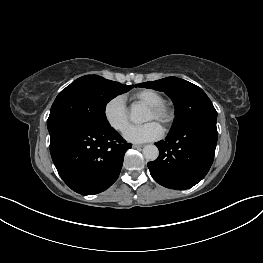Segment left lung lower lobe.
I'll use <instances>...</instances> for the list:
<instances>
[{
  "instance_id": "0a47b994",
  "label": "left lung lower lobe",
  "mask_w": 263,
  "mask_h": 263,
  "mask_svg": "<svg viewBox=\"0 0 263 263\" xmlns=\"http://www.w3.org/2000/svg\"><path fill=\"white\" fill-rule=\"evenodd\" d=\"M217 137L216 121L193 123L170 132L156 143L159 157L147 164L151 176L167 188H191L208 173Z\"/></svg>"
}]
</instances>
